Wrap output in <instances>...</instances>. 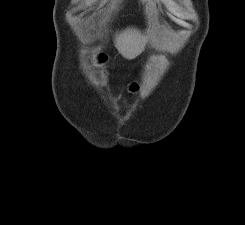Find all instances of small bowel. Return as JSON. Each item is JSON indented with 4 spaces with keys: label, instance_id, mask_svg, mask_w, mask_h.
<instances>
[{
    "label": "small bowel",
    "instance_id": "obj_1",
    "mask_svg": "<svg viewBox=\"0 0 245 225\" xmlns=\"http://www.w3.org/2000/svg\"><path fill=\"white\" fill-rule=\"evenodd\" d=\"M104 61H107V57H104Z\"/></svg>",
    "mask_w": 245,
    "mask_h": 225
}]
</instances>
